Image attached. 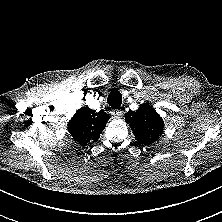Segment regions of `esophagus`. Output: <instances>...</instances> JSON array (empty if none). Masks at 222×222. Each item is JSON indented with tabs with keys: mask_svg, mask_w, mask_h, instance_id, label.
<instances>
[{
	"mask_svg": "<svg viewBox=\"0 0 222 222\" xmlns=\"http://www.w3.org/2000/svg\"><path fill=\"white\" fill-rule=\"evenodd\" d=\"M123 112L119 109H113L111 111V115L114 117V118H120L122 116Z\"/></svg>",
	"mask_w": 222,
	"mask_h": 222,
	"instance_id": "esophagus-1",
	"label": "esophagus"
}]
</instances>
